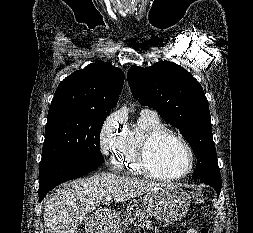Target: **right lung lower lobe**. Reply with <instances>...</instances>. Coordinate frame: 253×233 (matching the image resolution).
<instances>
[{
  "instance_id": "right-lung-lower-lobe-1",
  "label": "right lung lower lobe",
  "mask_w": 253,
  "mask_h": 233,
  "mask_svg": "<svg viewBox=\"0 0 253 233\" xmlns=\"http://www.w3.org/2000/svg\"><path fill=\"white\" fill-rule=\"evenodd\" d=\"M102 163L77 160H53L40 166L39 202L55 186L95 170Z\"/></svg>"
}]
</instances>
